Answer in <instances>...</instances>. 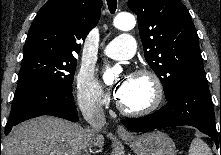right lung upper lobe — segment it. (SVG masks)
<instances>
[{"label":"right lung upper lobe","instance_id":"right-lung-upper-lobe-1","mask_svg":"<svg viewBox=\"0 0 221 155\" xmlns=\"http://www.w3.org/2000/svg\"><path fill=\"white\" fill-rule=\"evenodd\" d=\"M102 0H48L37 13L23 47L24 56L46 53L75 58L98 23Z\"/></svg>","mask_w":221,"mask_h":155}]
</instances>
